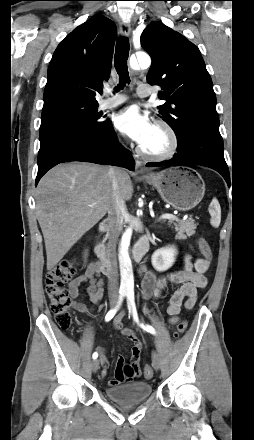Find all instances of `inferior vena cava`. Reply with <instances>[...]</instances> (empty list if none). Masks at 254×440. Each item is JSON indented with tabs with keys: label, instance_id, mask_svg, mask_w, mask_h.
I'll return each mask as SVG.
<instances>
[{
	"label": "inferior vena cava",
	"instance_id": "602c4592",
	"mask_svg": "<svg viewBox=\"0 0 254 440\" xmlns=\"http://www.w3.org/2000/svg\"><path fill=\"white\" fill-rule=\"evenodd\" d=\"M119 173V168H109L108 175L111 180L113 191V200L108 211L111 220L109 232V251L112 260H114L116 256V244L123 228L124 215L127 212L125 201L122 199L119 192ZM108 290L110 295H118V274L116 271H112L108 279Z\"/></svg>",
	"mask_w": 254,
	"mask_h": 440
}]
</instances>
